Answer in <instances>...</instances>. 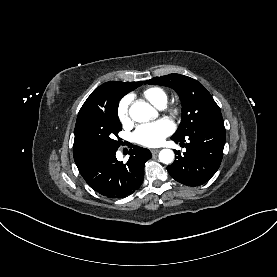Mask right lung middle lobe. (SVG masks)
<instances>
[{"label":"right lung middle lobe","instance_id":"dd1d6c3e","mask_svg":"<svg viewBox=\"0 0 277 277\" xmlns=\"http://www.w3.org/2000/svg\"><path fill=\"white\" fill-rule=\"evenodd\" d=\"M125 94L124 90L116 89L115 102L106 112L91 114L75 126L74 143L84 158L118 149L120 141L115 136L122 130L118 104Z\"/></svg>","mask_w":277,"mask_h":277}]
</instances>
